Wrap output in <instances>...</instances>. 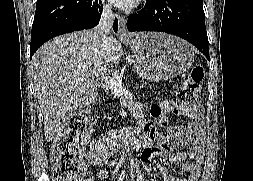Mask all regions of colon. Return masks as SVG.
Returning a JSON list of instances; mask_svg holds the SVG:
<instances>
[{"mask_svg": "<svg viewBox=\"0 0 253 181\" xmlns=\"http://www.w3.org/2000/svg\"><path fill=\"white\" fill-rule=\"evenodd\" d=\"M203 77V66L196 64L189 78L179 90L178 106L175 110L179 122L188 119L191 126L196 124L197 120L193 107L197 101ZM89 135L90 127L80 115L68 118L63 124L51 149L55 181H85L83 150Z\"/></svg>", "mask_w": 253, "mask_h": 181, "instance_id": "5ec220e1", "label": "colon"}]
</instances>
